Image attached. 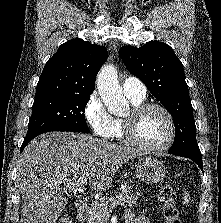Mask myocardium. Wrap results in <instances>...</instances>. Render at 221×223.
I'll use <instances>...</instances> for the list:
<instances>
[{
	"mask_svg": "<svg viewBox=\"0 0 221 223\" xmlns=\"http://www.w3.org/2000/svg\"><path fill=\"white\" fill-rule=\"evenodd\" d=\"M157 109L161 111L167 118L169 124L168 139L159 146H151L137 140L136 122L138 118L146 111ZM123 124V139L132 147L146 152H162L172 146L176 139V124L172 113L159 103L143 102L132 107L130 114L122 120Z\"/></svg>",
	"mask_w": 221,
	"mask_h": 223,
	"instance_id": "1",
	"label": "myocardium"
}]
</instances>
